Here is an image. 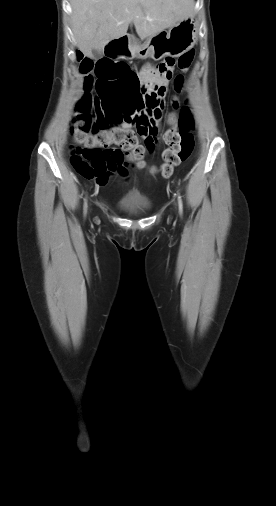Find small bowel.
<instances>
[{
    "label": "small bowel",
    "instance_id": "small-bowel-1",
    "mask_svg": "<svg viewBox=\"0 0 276 506\" xmlns=\"http://www.w3.org/2000/svg\"><path fill=\"white\" fill-rule=\"evenodd\" d=\"M141 72H142V77H141L142 83H150L154 86L163 87L166 91L169 79L166 77L165 74L161 73L158 70V65L154 66L152 64H146L142 68ZM163 107H164V103L161 104L160 108L158 109V111L156 112V114L152 118L151 133L153 135H156L159 131V125H160ZM123 126L128 127L127 124H123ZM142 135L146 136L147 134H142ZM121 162H122V158L117 157V156H112L110 158V160L108 161L107 170L102 175L95 178L96 184L99 187H104L109 180L111 172L116 170L117 166L120 165ZM119 171L124 173V169H122V168H119Z\"/></svg>",
    "mask_w": 276,
    "mask_h": 506
}]
</instances>
